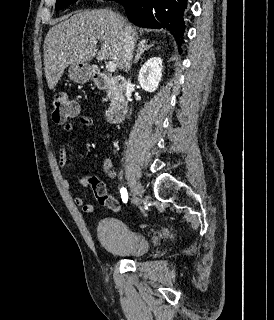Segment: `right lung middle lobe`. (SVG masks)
<instances>
[{"label":"right lung middle lobe","mask_w":274,"mask_h":320,"mask_svg":"<svg viewBox=\"0 0 274 320\" xmlns=\"http://www.w3.org/2000/svg\"><path fill=\"white\" fill-rule=\"evenodd\" d=\"M76 1L77 0H56V9L60 10Z\"/></svg>","instance_id":"dd1d6c3e"}]
</instances>
